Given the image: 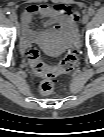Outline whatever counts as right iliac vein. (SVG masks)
I'll use <instances>...</instances> for the list:
<instances>
[{"instance_id": "1", "label": "right iliac vein", "mask_w": 104, "mask_h": 137, "mask_svg": "<svg viewBox=\"0 0 104 137\" xmlns=\"http://www.w3.org/2000/svg\"><path fill=\"white\" fill-rule=\"evenodd\" d=\"M9 18L12 22H17V19H18L17 15L15 13H11Z\"/></svg>"}]
</instances>
